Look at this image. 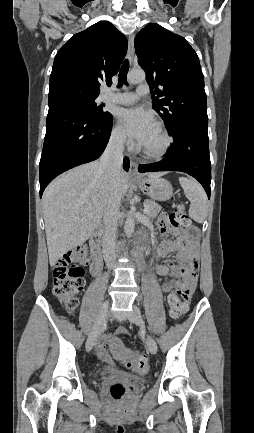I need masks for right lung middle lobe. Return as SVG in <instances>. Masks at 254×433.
Instances as JSON below:
<instances>
[{"instance_id":"obj_1","label":"right lung middle lobe","mask_w":254,"mask_h":433,"mask_svg":"<svg viewBox=\"0 0 254 433\" xmlns=\"http://www.w3.org/2000/svg\"><path fill=\"white\" fill-rule=\"evenodd\" d=\"M57 104L70 105L81 108L93 117H104L110 115L109 112L102 109L103 105H97L95 99H68Z\"/></svg>"}]
</instances>
